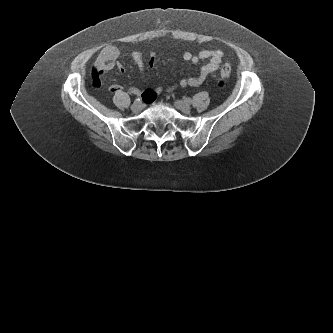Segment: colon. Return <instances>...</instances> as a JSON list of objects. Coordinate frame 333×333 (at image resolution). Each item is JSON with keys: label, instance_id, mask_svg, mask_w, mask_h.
Segmentation results:
<instances>
[{"label": "colon", "instance_id": "colon-1", "mask_svg": "<svg viewBox=\"0 0 333 333\" xmlns=\"http://www.w3.org/2000/svg\"><path fill=\"white\" fill-rule=\"evenodd\" d=\"M220 75H221V79L218 82V87L223 88L226 84V78L230 75V66L228 64L224 65L221 68Z\"/></svg>", "mask_w": 333, "mask_h": 333}]
</instances>
